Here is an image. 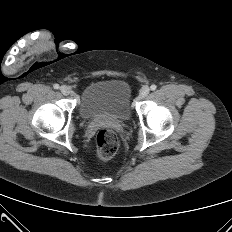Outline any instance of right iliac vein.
<instances>
[{"instance_id":"right-iliac-vein-1","label":"right iliac vein","mask_w":232,"mask_h":232,"mask_svg":"<svg viewBox=\"0 0 232 232\" xmlns=\"http://www.w3.org/2000/svg\"><path fill=\"white\" fill-rule=\"evenodd\" d=\"M60 91L63 95H68L70 93V88L66 85L60 87Z\"/></svg>"}]
</instances>
